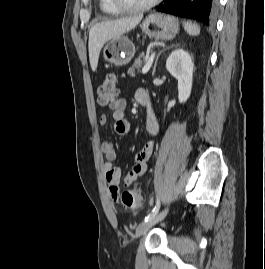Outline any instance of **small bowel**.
Listing matches in <instances>:
<instances>
[{
	"mask_svg": "<svg viewBox=\"0 0 265 269\" xmlns=\"http://www.w3.org/2000/svg\"><path fill=\"white\" fill-rule=\"evenodd\" d=\"M136 101L149 109L147 118V130L151 135H156L159 130L158 122L151 110V96L146 89H138L135 92ZM127 101L124 98L118 99L115 103L110 105L112 110V118L115 121V131L118 135H126L130 132L131 124L125 118V109ZM109 123V117L105 114L99 117V124L101 126H107ZM102 152L105 156V163L103 166L105 172V178L110 186L111 195L116 199V192L119 191V184L121 180V171L114 166L117 153L112 142L106 141L101 146ZM154 150V141H149L136 155L134 159V165L131 170L126 174L124 183L130 185L135 182L140 176H142L146 169L148 162Z\"/></svg>",
	"mask_w": 265,
	"mask_h": 269,
	"instance_id": "small-bowel-1",
	"label": "small bowel"
}]
</instances>
